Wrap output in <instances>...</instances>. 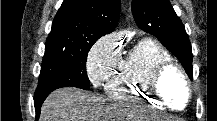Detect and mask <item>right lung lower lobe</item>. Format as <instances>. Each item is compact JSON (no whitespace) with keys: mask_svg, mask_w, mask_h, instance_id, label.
Returning a JSON list of instances; mask_svg holds the SVG:
<instances>
[{"mask_svg":"<svg viewBox=\"0 0 217 121\" xmlns=\"http://www.w3.org/2000/svg\"><path fill=\"white\" fill-rule=\"evenodd\" d=\"M48 95L49 94H46V95L41 96V97L34 98V105H35V110H36V120L38 119V117L40 115L41 105H42V103L44 102V100L46 99V97Z\"/></svg>","mask_w":217,"mask_h":121,"instance_id":"1","label":"right lung lower lobe"}]
</instances>
